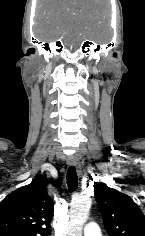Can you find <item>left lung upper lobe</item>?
I'll return each instance as SVG.
<instances>
[{"label":"left lung upper lobe","mask_w":145,"mask_h":236,"mask_svg":"<svg viewBox=\"0 0 145 236\" xmlns=\"http://www.w3.org/2000/svg\"><path fill=\"white\" fill-rule=\"evenodd\" d=\"M94 194L109 236H145V216L126 194L95 183Z\"/></svg>","instance_id":"left-lung-upper-lobe-1"}]
</instances>
